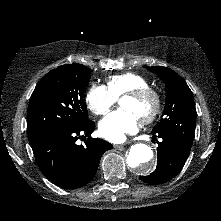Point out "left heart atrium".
Listing matches in <instances>:
<instances>
[{
  "mask_svg": "<svg viewBox=\"0 0 221 221\" xmlns=\"http://www.w3.org/2000/svg\"><path fill=\"white\" fill-rule=\"evenodd\" d=\"M139 126V118L131 111L118 109L104 117L98 126L100 135L114 143L122 142Z\"/></svg>",
  "mask_w": 221,
  "mask_h": 221,
  "instance_id": "obj_1",
  "label": "left heart atrium"
}]
</instances>
